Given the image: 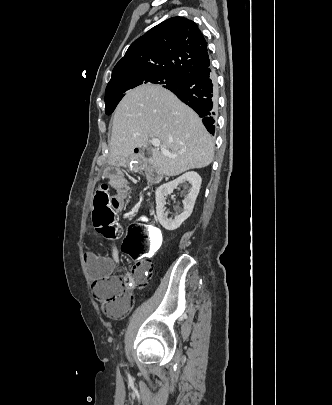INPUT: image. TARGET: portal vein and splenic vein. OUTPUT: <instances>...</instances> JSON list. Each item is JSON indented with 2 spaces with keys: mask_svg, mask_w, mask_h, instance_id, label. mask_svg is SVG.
<instances>
[{
  "mask_svg": "<svg viewBox=\"0 0 332 405\" xmlns=\"http://www.w3.org/2000/svg\"><path fill=\"white\" fill-rule=\"evenodd\" d=\"M151 144L156 147V148H160L161 152L169 157H172L173 155L166 149L164 148L161 143L160 140L158 138H152L150 140Z\"/></svg>",
  "mask_w": 332,
  "mask_h": 405,
  "instance_id": "portal-vein-and-splenic-vein-1",
  "label": "portal vein and splenic vein"
}]
</instances>
